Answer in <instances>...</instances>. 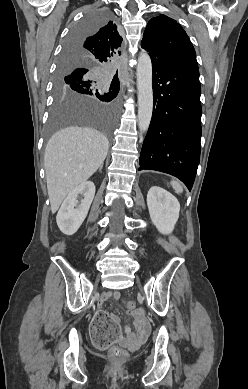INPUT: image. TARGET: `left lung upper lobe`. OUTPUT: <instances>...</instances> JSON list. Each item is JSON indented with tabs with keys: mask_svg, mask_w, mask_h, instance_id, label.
Masks as SVG:
<instances>
[{
	"mask_svg": "<svg viewBox=\"0 0 248 389\" xmlns=\"http://www.w3.org/2000/svg\"><path fill=\"white\" fill-rule=\"evenodd\" d=\"M141 46L161 62L196 60L194 47L186 32L175 20L163 14L148 22Z\"/></svg>",
	"mask_w": 248,
	"mask_h": 389,
	"instance_id": "obj_1",
	"label": "left lung upper lobe"
}]
</instances>
